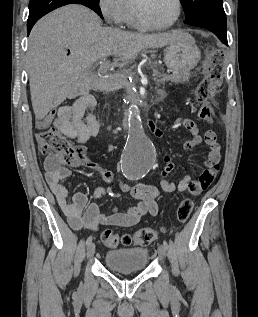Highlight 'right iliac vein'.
Segmentation results:
<instances>
[{
	"instance_id": "63e3f726",
	"label": "right iliac vein",
	"mask_w": 258,
	"mask_h": 317,
	"mask_svg": "<svg viewBox=\"0 0 258 317\" xmlns=\"http://www.w3.org/2000/svg\"><path fill=\"white\" fill-rule=\"evenodd\" d=\"M86 257L89 260L90 258L93 257L95 251H96V247H95V242H90L88 244L87 250H86Z\"/></svg>"
}]
</instances>
